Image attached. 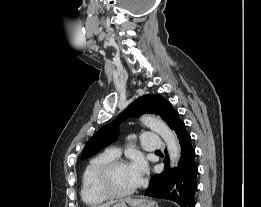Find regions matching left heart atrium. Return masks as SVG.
<instances>
[{
    "label": "left heart atrium",
    "instance_id": "left-heart-atrium-1",
    "mask_svg": "<svg viewBox=\"0 0 261 207\" xmlns=\"http://www.w3.org/2000/svg\"><path fill=\"white\" fill-rule=\"evenodd\" d=\"M129 166L134 177L135 185L137 186L143 180L144 174L146 172V163L142 157L136 156Z\"/></svg>",
    "mask_w": 261,
    "mask_h": 207
}]
</instances>
